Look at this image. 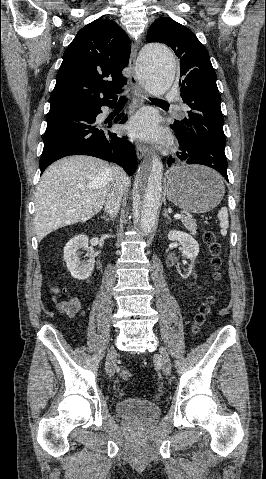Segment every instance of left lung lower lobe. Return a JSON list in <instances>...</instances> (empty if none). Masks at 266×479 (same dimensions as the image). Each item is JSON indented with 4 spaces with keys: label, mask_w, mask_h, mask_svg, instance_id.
Listing matches in <instances>:
<instances>
[{
    "label": "left lung lower lobe",
    "mask_w": 266,
    "mask_h": 479,
    "mask_svg": "<svg viewBox=\"0 0 266 479\" xmlns=\"http://www.w3.org/2000/svg\"><path fill=\"white\" fill-rule=\"evenodd\" d=\"M171 128L178 135V140H179V144H180V151L177 152V157L180 160L185 161L187 164H202V165L209 166L213 169H216L228 181L227 161H222V160L219 159L218 161L211 162L209 164L202 163L200 161V159H198L196 156H194L192 153L189 152V150H188V148H187V146L184 142L183 136L173 126H171ZM173 162H175V159L170 156L169 159H168V164L171 165Z\"/></svg>",
    "instance_id": "0a47b994"
}]
</instances>
